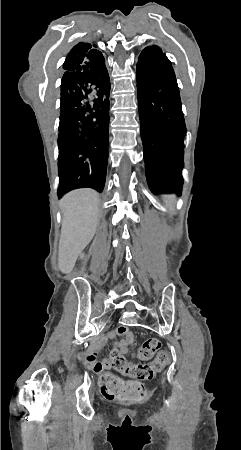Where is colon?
Wrapping results in <instances>:
<instances>
[{"label": "colon", "instance_id": "5ec220e1", "mask_svg": "<svg viewBox=\"0 0 241 450\" xmlns=\"http://www.w3.org/2000/svg\"><path fill=\"white\" fill-rule=\"evenodd\" d=\"M160 347L158 339L148 338L136 350L135 355L140 360L148 361L159 352ZM168 361L169 354L166 351H161L156 360L147 364H128L118 352H113L110 357V364L115 370L141 381L154 379ZM98 383L101 395L107 401L143 404L149 398L147 389L141 383L122 380L108 371L101 373Z\"/></svg>", "mask_w": 241, "mask_h": 450}]
</instances>
